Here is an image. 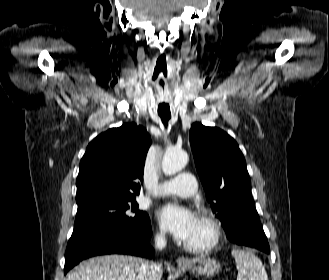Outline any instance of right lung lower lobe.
<instances>
[{
    "label": "right lung lower lobe",
    "mask_w": 329,
    "mask_h": 280,
    "mask_svg": "<svg viewBox=\"0 0 329 280\" xmlns=\"http://www.w3.org/2000/svg\"><path fill=\"white\" fill-rule=\"evenodd\" d=\"M150 236L151 224L139 234H128L110 227H93L71 236L65 252L64 274L80 261L96 255L152 256L154 250L147 243Z\"/></svg>",
    "instance_id": "1"
}]
</instances>
